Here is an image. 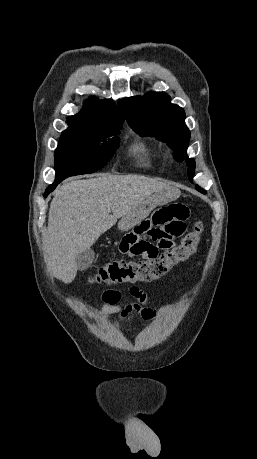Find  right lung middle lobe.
Listing matches in <instances>:
<instances>
[{
  "label": "right lung middle lobe",
  "instance_id": "1",
  "mask_svg": "<svg viewBox=\"0 0 257 459\" xmlns=\"http://www.w3.org/2000/svg\"><path fill=\"white\" fill-rule=\"evenodd\" d=\"M68 124L55 151L56 178L93 173L104 167L119 145L120 129L100 131Z\"/></svg>",
  "mask_w": 257,
  "mask_h": 459
}]
</instances>
